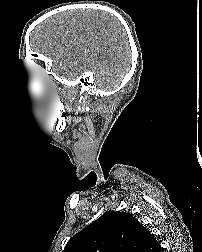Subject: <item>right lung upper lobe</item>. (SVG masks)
Masks as SVG:
<instances>
[{"mask_svg": "<svg viewBox=\"0 0 202 252\" xmlns=\"http://www.w3.org/2000/svg\"><path fill=\"white\" fill-rule=\"evenodd\" d=\"M156 238L133 215L107 211L75 234L63 252H162Z\"/></svg>", "mask_w": 202, "mask_h": 252, "instance_id": "right-lung-upper-lobe-1", "label": "right lung upper lobe"}]
</instances>
